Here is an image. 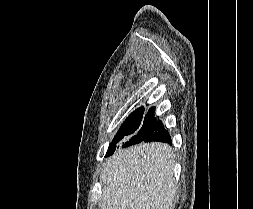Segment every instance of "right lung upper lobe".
I'll return each instance as SVG.
<instances>
[{
	"mask_svg": "<svg viewBox=\"0 0 253 209\" xmlns=\"http://www.w3.org/2000/svg\"><path fill=\"white\" fill-rule=\"evenodd\" d=\"M142 111H144V108H139V109H137L136 111H134L133 113H131L129 116L135 115V114H137V113H139V112H142Z\"/></svg>",
	"mask_w": 253,
	"mask_h": 209,
	"instance_id": "obj_1",
	"label": "right lung upper lobe"
}]
</instances>
